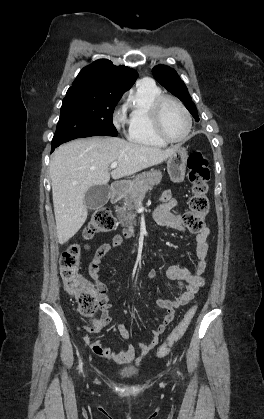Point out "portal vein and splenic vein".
<instances>
[{
    "mask_svg": "<svg viewBox=\"0 0 264 419\" xmlns=\"http://www.w3.org/2000/svg\"><path fill=\"white\" fill-rule=\"evenodd\" d=\"M117 165H118V163H117V162H113V163H111L110 168H111V169H114V168H116V167H117Z\"/></svg>",
    "mask_w": 264,
    "mask_h": 419,
    "instance_id": "1",
    "label": "portal vein and splenic vein"
}]
</instances>
